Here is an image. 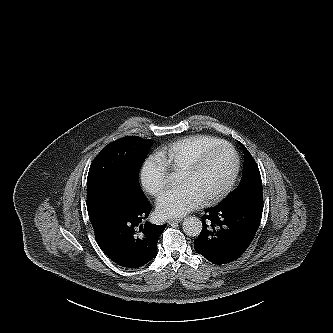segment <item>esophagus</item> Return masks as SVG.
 <instances>
[{
  "mask_svg": "<svg viewBox=\"0 0 333 333\" xmlns=\"http://www.w3.org/2000/svg\"><path fill=\"white\" fill-rule=\"evenodd\" d=\"M182 221V219L181 218H171V219H169L168 220V223L169 224H172V223H174V222H181Z\"/></svg>",
  "mask_w": 333,
  "mask_h": 333,
  "instance_id": "esophagus-1",
  "label": "esophagus"
}]
</instances>
